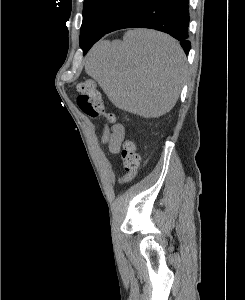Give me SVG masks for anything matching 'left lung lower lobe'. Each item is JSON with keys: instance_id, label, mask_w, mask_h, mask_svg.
Segmentation results:
<instances>
[{"instance_id": "obj_1", "label": "left lung lower lobe", "mask_w": 245, "mask_h": 300, "mask_svg": "<svg viewBox=\"0 0 245 300\" xmlns=\"http://www.w3.org/2000/svg\"><path fill=\"white\" fill-rule=\"evenodd\" d=\"M188 0H137L122 12L103 34L88 37L85 55L105 34L124 28H149L170 34L180 41L187 54L191 48L188 38Z\"/></svg>"}]
</instances>
